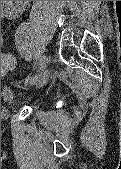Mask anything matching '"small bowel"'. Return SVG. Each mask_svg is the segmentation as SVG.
Listing matches in <instances>:
<instances>
[{"mask_svg":"<svg viewBox=\"0 0 121 169\" xmlns=\"http://www.w3.org/2000/svg\"><path fill=\"white\" fill-rule=\"evenodd\" d=\"M29 1H3L2 16L13 18L18 16Z\"/></svg>","mask_w":121,"mask_h":169,"instance_id":"1","label":"small bowel"}]
</instances>
